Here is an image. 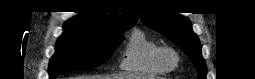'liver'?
Listing matches in <instances>:
<instances>
[{
  "label": "liver",
  "instance_id": "liver-1",
  "mask_svg": "<svg viewBox=\"0 0 255 79\" xmlns=\"http://www.w3.org/2000/svg\"><path fill=\"white\" fill-rule=\"evenodd\" d=\"M78 79H150L141 76H130V75H106V76H81Z\"/></svg>",
  "mask_w": 255,
  "mask_h": 79
}]
</instances>
